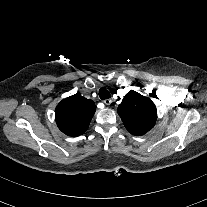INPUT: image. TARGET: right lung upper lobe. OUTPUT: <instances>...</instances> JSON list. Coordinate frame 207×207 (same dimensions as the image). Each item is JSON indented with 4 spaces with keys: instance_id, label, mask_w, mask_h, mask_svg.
I'll return each mask as SVG.
<instances>
[{
    "instance_id": "right-lung-upper-lobe-1",
    "label": "right lung upper lobe",
    "mask_w": 207,
    "mask_h": 207,
    "mask_svg": "<svg viewBox=\"0 0 207 207\" xmlns=\"http://www.w3.org/2000/svg\"><path fill=\"white\" fill-rule=\"evenodd\" d=\"M95 110L96 106L92 100L76 93L57 105L55 110L57 126L68 136H79L87 130Z\"/></svg>"
}]
</instances>
